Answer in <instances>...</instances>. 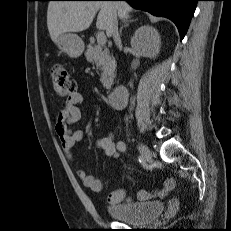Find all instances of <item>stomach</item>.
Here are the masks:
<instances>
[{
  "label": "stomach",
  "instance_id": "1",
  "mask_svg": "<svg viewBox=\"0 0 231 231\" xmlns=\"http://www.w3.org/2000/svg\"><path fill=\"white\" fill-rule=\"evenodd\" d=\"M54 42L70 58H78L84 50V43L76 34L63 33Z\"/></svg>",
  "mask_w": 231,
  "mask_h": 231
}]
</instances>
